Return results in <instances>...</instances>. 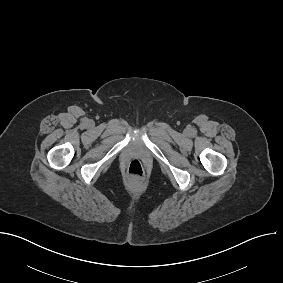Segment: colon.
Listing matches in <instances>:
<instances>
[{"instance_id": "obj_1", "label": "colon", "mask_w": 283, "mask_h": 283, "mask_svg": "<svg viewBox=\"0 0 283 283\" xmlns=\"http://www.w3.org/2000/svg\"><path fill=\"white\" fill-rule=\"evenodd\" d=\"M128 174L134 178H141L144 176V167L139 160H132L127 169Z\"/></svg>"}]
</instances>
